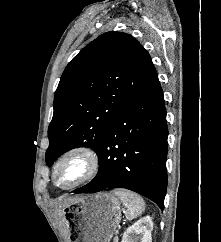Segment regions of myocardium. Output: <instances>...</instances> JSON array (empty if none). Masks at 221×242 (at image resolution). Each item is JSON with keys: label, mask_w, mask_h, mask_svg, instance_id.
Here are the masks:
<instances>
[{"label": "myocardium", "mask_w": 221, "mask_h": 242, "mask_svg": "<svg viewBox=\"0 0 221 242\" xmlns=\"http://www.w3.org/2000/svg\"><path fill=\"white\" fill-rule=\"evenodd\" d=\"M71 157H79L84 162L82 174L71 184L62 186L56 181L60 166ZM100 160L97 152L90 146L76 145L65 150L54 162L51 170L52 184L60 190H70L91 180L98 172Z\"/></svg>", "instance_id": "f54148a6"}]
</instances>
